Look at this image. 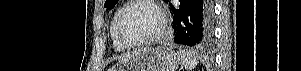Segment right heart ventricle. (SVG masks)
Wrapping results in <instances>:
<instances>
[{
	"label": "right heart ventricle",
	"mask_w": 301,
	"mask_h": 71,
	"mask_svg": "<svg viewBox=\"0 0 301 71\" xmlns=\"http://www.w3.org/2000/svg\"><path fill=\"white\" fill-rule=\"evenodd\" d=\"M119 11L120 10L116 11V13L114 14V16L112 18L109 32H110V37H111L113 48L118 52H122V51H125L127 49V47L120 42V40L118 39V37L116 35L115 27H116V19H117Z\"/></svg>",
	"instance_id": "right-heart-ventricle-1"
}]
</instances>
